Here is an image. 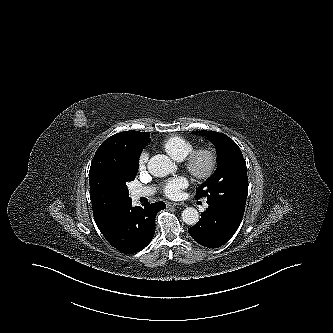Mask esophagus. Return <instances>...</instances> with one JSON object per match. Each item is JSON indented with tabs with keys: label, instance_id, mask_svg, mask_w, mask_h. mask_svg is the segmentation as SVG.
Listing matches in <instances>:
<instances>
[{
	"label": "esophagus",
	"instance_id": "obj_1",
	"mask_svg": "<svg viewBox=\"0 0 333 333\" xmlns=\"http://www.w3.org/2000/svg\"><path fill=\"white\" fill-rule=\"evenodd\" d=\"M180 205H184V204L176 203V202H166L167 207H176V206H180Z\"/></svg>",
	"mask_w": 333,
	"mask_h": 333
}]
</instances>
